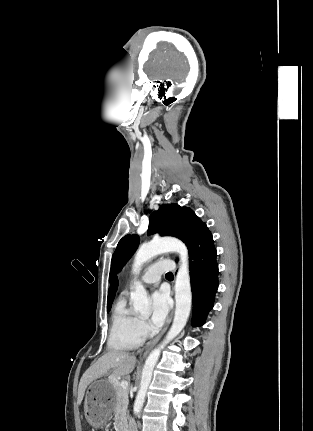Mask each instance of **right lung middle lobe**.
<instances>
[{
	"label": "right lung middle lobe",
	"instance_id": "1",
	"mask_svg": "<svg viewBox=\"0 0 313 431\" xmlns=\"http://www.w3.org/2000/svg\"><path fill=\"white\" fill-rule=\"evenodd\" d=\"M110 308H111V306H108V307H107V311H109V310H110Z\"/></svg>",
	"mask_w": 313,
	"mask_h": 431
}]
</instances>
